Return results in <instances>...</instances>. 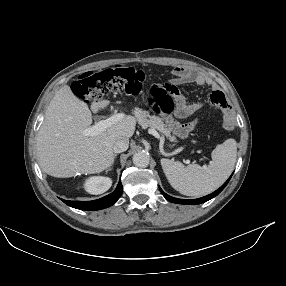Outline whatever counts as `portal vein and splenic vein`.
Wrapping results in <instances>:
<instances>
[{
  "label": "portal vein and splenic vein",
  "mask_w": 286,
  "mask_h": 286,
  "mask_svg": "<svg viewBox=\"0 0 286 286\" xmlns=\"http://www.w3.org/2000/svg\"><path fill=\"white\" fill-rule=\"evenodd\" d=\"M124 118L123 114H116L114 116H111L105 120H101L98 123H96L93 126H90L88 128H86L83 133L86 136H93V135H97L98 133L106 130L107 128H109L110 126L116 124L117 122L121 121ZM149 133L152 134L153 136H155L156 138L160 139L161 142H163V139L160 137V135L157 133L156 130L154 129H149Z\"/></svg>",
  "instance_id": "18ae733b"
}]
</instances>
